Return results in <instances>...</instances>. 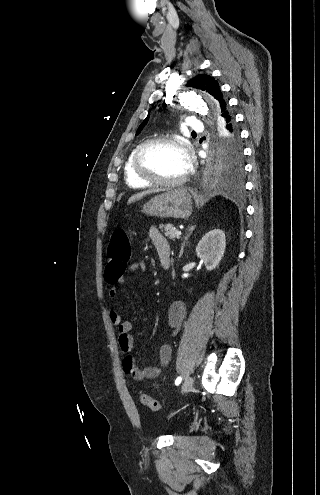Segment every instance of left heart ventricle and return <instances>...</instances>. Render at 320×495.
<instances>
[{
    "mask_svg": "<svg viewBox=\"0 0 320 495\" xmlns=\"http://www.w3.org/2000/svg\"><path fill=\"white\" fill-rule=\"evenodd\" d=\"M143 165L152 175L158 178L175 180L185 173L188 160L180 147L162 143L149 148L145 152Z\"/></svg>",
    "mask_w": 320,
    "mask_h": 495,
    "instance_id": "left-heart-ventricle-1",
    "label": "left heart ventricle"
}]
</instances>
